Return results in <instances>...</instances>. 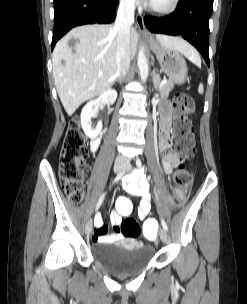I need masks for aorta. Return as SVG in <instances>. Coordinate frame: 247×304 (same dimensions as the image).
Returning <instances> with one entry per match:
<instances>
[{"mask_svg": "<svg viewBox=\"0 0 247 304\" xmlns=\"http://www.w3.org/2000/svg\"><path fill=\"white\" fill-rule=\"evenodd\" d=\"M138 68L140 72V78L143 83L146 82L148 78V72H149V67H148V61L145 55V50L141 46L139 49L138 53Z\"/></svg>", "mask_w": 247, "mask_h": 304, "instance_id": "762f6f07", "label": "aorta"}]
</instances>
